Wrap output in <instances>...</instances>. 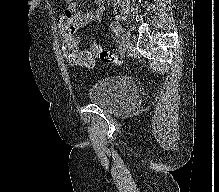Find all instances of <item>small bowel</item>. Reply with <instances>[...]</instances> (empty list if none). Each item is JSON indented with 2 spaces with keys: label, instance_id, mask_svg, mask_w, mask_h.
<instances>
[{
  "label": "small bowel",
  "instance_id": "obj_1",
  "mask_svg": "<svg viewBox=\"0 0 219 192\" xmlns=\"http://www.w3.org/2000/svg\"><path fill=\"white\" fill-rule=\"evenodd\" d=\"M65 3V8L58 15V26L62 39L69 33L73 34L79 44L80 38L76 32L82 29L88 22H100L101 16L105 11L102 6L104 0H95L99 6L90 13H84L77 6V0H59Z\"/></svg>",
  "mask_w": 219,
  "mask_h": 192
}]
</instances>
